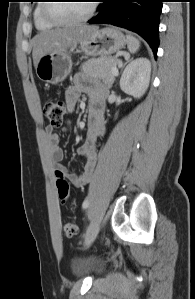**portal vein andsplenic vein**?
<instances>
[{
    "mask_svg": "<svg viewBox=\"0 0 195 299\" xmlns=\"http://www.w3.org/2000/svg\"><path fill=\"white\" fill-rule=\"evenodd\" d=\"M111 71L114 75L118 74V69L116 67H113Z\"/></svg>",
    "mask_w": 195,
    "mask_h": 299,
    "instance_id": "1",
    "label": "portal vein and splenic vein"
}]
</instances>
